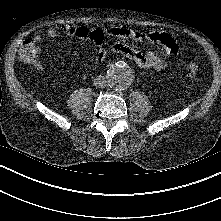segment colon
Segmentation results:
<instances>
[{
    "mask_svg": "<svg viewBox=\"0 0 221 221\" xmlns=\"http://www.w3.org/2000/svg\"><path fill=\"white\" fill-rule=\"evenodd\" d=\"M39 54V49L34 41L26 40L19 50V58L22 62L33 64L36 62ZM199 65L196 62H190L186 66V73L190 77H196L199 73Z\"/></svg>",
    "mask_w": 221,
    "mask_h": 221,
    "instance_id": "1",
    "label": "colon"
}]
</instances>
